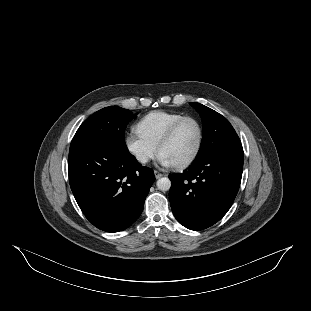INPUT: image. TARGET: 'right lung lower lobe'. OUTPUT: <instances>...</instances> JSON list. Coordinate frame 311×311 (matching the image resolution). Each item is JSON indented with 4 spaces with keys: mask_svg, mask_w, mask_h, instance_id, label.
<instances>
[{
    "mask_svg": "<svg viewBox=\"0 0 311 311\" xmlns=\"http://www.w3.org/2000/svg\"><path fill=\"white\" fill-rule=\"evenodd\" d=\"M69 183L91 224L107 232L128 228L140 216L155 181L127 148L90 141L69 150Z\"/></svg>",
    "mask_w": 311,
    "mask_h": 311,
    "instance_id": "obj_1",
    "label": "right lung lower lobe"
}]
</instances>
